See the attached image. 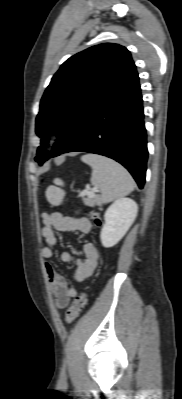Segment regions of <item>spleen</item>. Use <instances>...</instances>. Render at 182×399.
<instances>
[{
  "instance_id": "spleen-1",
  "label": "spleen",
  "mask_w": 182,
  "mask_h": 399,
  "mask_svg": "<svg viewBox=\"0 0 182 399\" xmlns=\"http://www.w3.org/2000/svg\"><path fill=\"white\" fill-rule=\"evenodd\" d=\"M81 161L92 168L90 181L94 187L100 189L103 203L126 196L134 190L135 183L129 172L112 159L96 154H86L81 157ZM54 183L63 185L60 179H55ZM64 195L65 192L56 186H50L46 191V197L52 205L61 204Z\"/></svg>"
}]
</instances>
